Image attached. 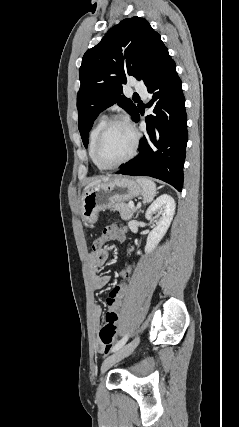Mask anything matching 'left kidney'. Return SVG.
Listing matches in <instances>:
<instances>
[{"label": "left kidney", "instance_id": "left-kidney-1", "mask_svg": "<svg viewBox=\"0 0 239 427\" xmlns=\"http://www.w3.org/2000/svg\"><path fill=\"white\" fill-rule=\"evenodd\" d=\"M176 204L174 199L168 195L163 194L159 196L147 209L145 217L147 220H152L154 214H157L159 219L156 221V226L149 233L145 246V252H152L163 236L166 234L173 216L175 214Z\"/></svg>", "mask_w": 239, "mask_h": 427}]
</instances>
